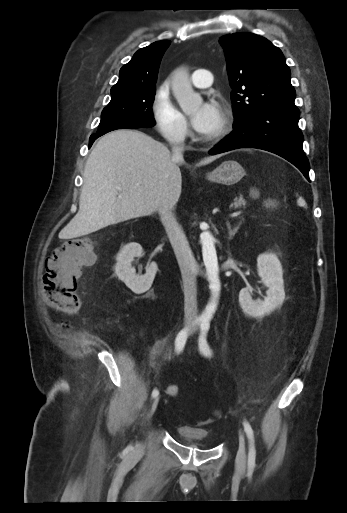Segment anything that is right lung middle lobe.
I'll list each match as a JSON object with an SVG mask.
<instances>
[{
    "label": "right lung middle lobe",
    "instance_id": "obj_1",
    "mask_svg": "<svg viewBox=\"0 0 347 513\" xmlns=\"http://www.w3.org/2000/svg\"><path fill=\"white\" fill-rule=\"evenodd\" d=\"M156 86L111 91V101L102 111L97 133L129 127L149 128L155 125L152 104Z\"/></svg>",
    "mask_w": 347,
    "mask_h": 513
}]
</instances>
